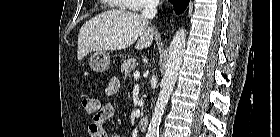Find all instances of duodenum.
<instances>
[{
    "label": "duodenum",
    "mask_w": 280,
    "mask_h": 137,
    "mask_svg": "<svg viewBox=\"0 0 280 137\" xmlns=\"http://www.w3.org/2000/svg\"><path fill=\"white\" fill-rule=\"evenodd\" d=\"M138 125H139V129L141 131H144V132L147 131L149 128V118L146 116L141 117L139 119Z\"/></svg>",
    "instance_id": "duodenum-1"
}]
</instances>
